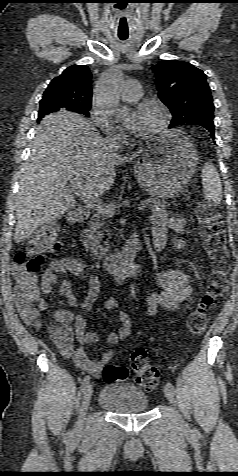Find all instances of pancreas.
Segmentation results:
<instances>
[{
  "label": "pancreas",
  "mask_w": 238,
  "mask_h": 476,
  "mask_svg": "<svg viewBox=\"0 0 238 476\" xmlns=\"http://www.w3.org/2000/svg\"><path fill=\"white\" fill-rule=\"evenodd\" d=\"M148 208L155 214L165 213L169 204L166 201L148 198L146 200ZM107 216L101 215L98 212L94 213L87 224V229L83 231V245L95 257H103L109 252L108 239H105ZM104 241V246L101 244Z\"/></svg>",
  "instance_id": "obj_1"
}]
</instances>
